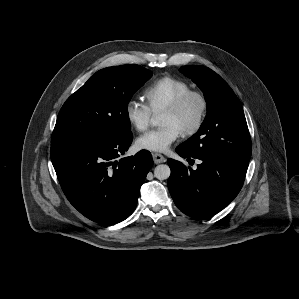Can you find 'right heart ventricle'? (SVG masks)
Masks as SVG:
<instances>
[{"label":"right heart ventricle","mask_w":299,"mask_h":299,"mask_svg":"<svg viewBox=\"0 0 299 299\" xmlns=\"http://www.w3.org/2000/svg\"><path fill=\"white\" fill-rule=\"evenodd\" d=\"M191 86L186 81L166 76L154 81L144 90L146 105L154 114L162 112L180 95L189 91Z\"/></svg>","instance_id":"right-heart-ventricle-1"}]
</instances>
